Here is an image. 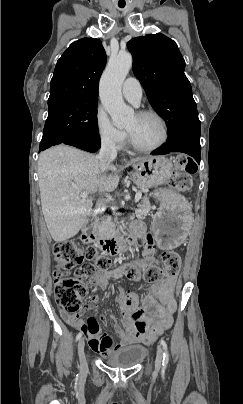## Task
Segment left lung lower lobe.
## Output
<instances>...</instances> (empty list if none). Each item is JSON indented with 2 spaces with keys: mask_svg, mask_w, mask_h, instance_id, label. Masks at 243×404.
<instances>
[{
  "mask_svg": "<svg viewBox=\"0 0 243 404\" xmlns=\"http://www.w3.org/2000/svg\"><path fill=\"white\" fill-rule=\"evenodd\" d=\"M170 152L186 153L200 163V128L185 126L174 130L169 135L167 143L154 150L152 154L161 155Z\"/></svg>",
  "mask_w": 243,
  "mask_h": 404,
  "instance_id": "left-lung-lower-lobe-1",
  "label": "left lung lower lobe"
}]
</instances>
